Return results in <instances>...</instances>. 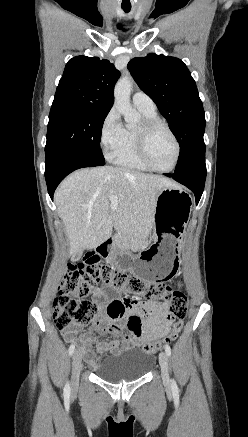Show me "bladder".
<instances>
[{
    "mask_svg": "<svg viewBox=\"0 0 248 437\" xmlns=\"http://www.w3.org/2000/svg\"><path fill=\"white\" fill-rule=\"evenodd\" d=\"M155 362L151 353L127 350L107 359L97 370L99 378L110 383H122L144 377Z\"/></svg>",
    "mask_w": 248,
    "mask_h": 437,
    "instance_id": "bladder-1",
    "label": "bladder"
}]
</instances>
